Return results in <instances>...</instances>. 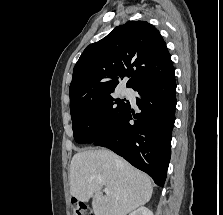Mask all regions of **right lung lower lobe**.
Wrapping results in <instances>:
<instances>
[{"label": "right lung lower lobe", "instance_id": "98d812e1", "mask_svg": "<svg viewBox=\"0 0 223 215\" xmlns=\"http://www.w3.org/2000/svg\"><path fill=\"white\" fill-rule=\"evenodd\" d=\"M141 97L133 114L129 104L122 119L96 146L111 149L163 187L171 156V132L175 122L176 82L174 70L165 77L134 88ZM134 119L131 125L129 120Z\"/></svg>", "mask_w": 223, "mask_h": 215}]
</instances>
